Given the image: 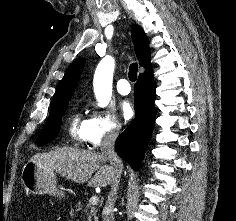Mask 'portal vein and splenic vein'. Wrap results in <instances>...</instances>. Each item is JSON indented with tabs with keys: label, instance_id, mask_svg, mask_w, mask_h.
I'll list each match as a JSON object with an SVG mask.
<instances>
[{
	"label": "portal vein and splenic vein",
	"instance_id": "obj_1",
	"mask_svg": "<svg viewBox=\"0 0 236 221\" xmlns=\"http://www.w3.org/2000/svg\"><path fill=\"white\" fill-rule=\"evenodd\" d=\"M98 201H99L98 196H92V197L90 198V200H89V203H90L91 205H97Z\"/></svg>",
	"mask_w": 236,
	"mask_h": 221
}]
</instances>
